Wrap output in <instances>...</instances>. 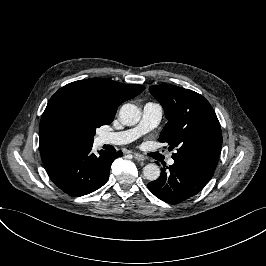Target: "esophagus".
Listing matches in <instances>:
<instances>
[{
    "instance_id": "34e87169",
    "label": "esophagus",
    "mask_w": 266,
    "mask_h": 266,
    "mask_svg": "<svg viewBox=\"0 0 266 266\" xmlns=\"http://www.w3.org/2000/svg\"><path fill=\"white\" fill-rule=\"evenodd\" d=\"M134 158L137 160V161H144L146 160V157L140 153H134L133 154Z\"/></svg>"
}]
</instances>
